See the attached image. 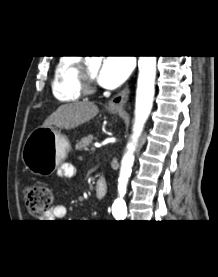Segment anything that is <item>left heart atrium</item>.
Segmentation results:
<instances>
[{"instance_id":"left-heart-atrium-1","label":"left heart atrium","mask_w":218,"mask_h":277,"mask_svg":"<svg viewBox=\"0 0 218 277\" xmlns=\"http://www.w3.org/2000/svg\"><path fill=\"white\" fill-rule=\"evenodd\" d=\"M131 68L132 63L128 57H106L96 78L103 87L116 88L128 77Z\"/></svg>"}]
</instances>
